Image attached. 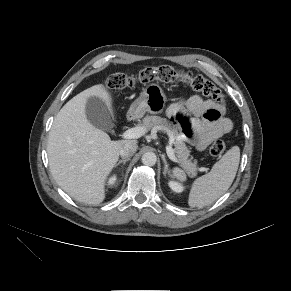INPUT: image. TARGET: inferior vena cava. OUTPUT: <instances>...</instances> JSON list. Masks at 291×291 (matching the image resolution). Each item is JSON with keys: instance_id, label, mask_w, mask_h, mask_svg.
<instances>
[{"instance_id": "602c4592", "label": "inferior vena cava", "mask_w": 291, "mask_h": 291, "mask_svg": "<svg viewBox=\"0 0 291 291\" xmlns=\"http://www.w3.org/2000/svg\"><path fill=\"white\" fill-rule=\"evenodd\" d=\"M137 144L136 143H126L120 150V155L123 158L131 157L137 151Z\"/></svg>"}]
</instances>
